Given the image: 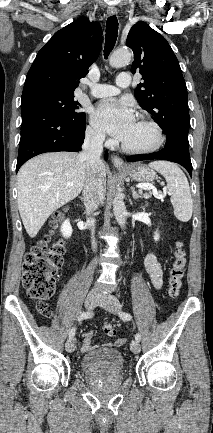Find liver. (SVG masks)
<instances>
[{
    "label": "liver",
    "instance_id": "1",
    "mask_svg": "<svg viewBox=\"0 0 213 433\" xmlns=\"http://www.w3.org/2000/svg\"><path fill=\"white\" fill-rule=\"evenodd\" d=\"M106 177L107 168L99 166ZM87 175L86 162L80 154L45 153L27 161L17 177L18 209L23 225L34 238L48 217L82 191ZM71 183V186H67Z\"/></svg>",
    "mask_w": 213,
    "mask_h": 433
}]
</instances>
